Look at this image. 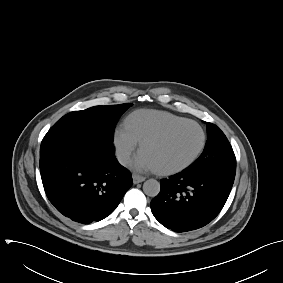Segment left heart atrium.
Listing matches in <instances>:
<instances>
[{
    "label": "left heart atrium",
    "mask_w": 283,
    "mask_h": 283,
    "mask_svg": "<svg viewBox=\"0 0 283 283\" xmlns=\"http://www.w3.org/2000/svg\"><path fill=\"white\" fill-rule=\"evenodd\" d=\"M133 166L140 171H154L157 172V167L150 159V157L143 151H140L136 156Z\"/></svg>",
    "instance_id": "obj_1"
}]
</instances>
